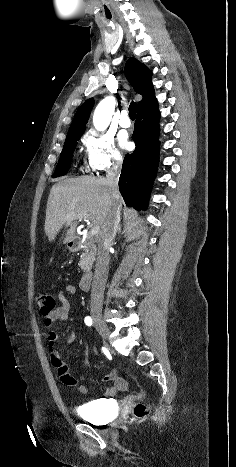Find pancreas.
I'll return each mask as SVG.
<instances>
[{"label":"pancreas","mask_w":236,"mask_h":467,"mask_svg":"<svg viewBox=\"0 0 236 467\" xmlns=\"http://www.w3.org/2000/svg\"><path fill=\"white\" fill-rule=\"evenodd\" d=\"M95 255H96L95 241L91 237V235H89L85 242L83 253L81 254L80 262H79V266L84 272H88L91 269L95 261Z\"/></svg>","instance_id":"pancreas-1"}]
</instances>
